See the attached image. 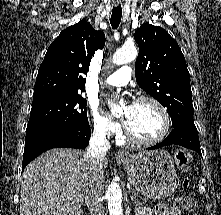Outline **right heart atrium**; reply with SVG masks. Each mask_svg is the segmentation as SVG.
<instances>
[{"label":"right heart atrium","instance_id":"d8ad5b80","mask_svg":"<svg viewBox=\"0 0 221 215\" xmlns=\"http://www.w3.org/2000/svg\"><path fill=\"white\" fill-rule=\"evenodd\" d=\"M93 131L101 137L118 135L120 126L118 123L104 115L95 106L90 107Z\"/></svg>","mask_w":221,"mask_h":215}]
</instances>
